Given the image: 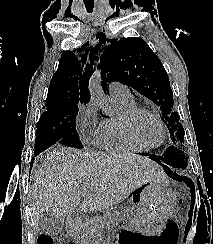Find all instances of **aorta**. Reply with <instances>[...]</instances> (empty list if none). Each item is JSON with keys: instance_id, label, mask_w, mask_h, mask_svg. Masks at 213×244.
Returning <instances> with one entry per match:
<instances>
[{"instance_id": "obj_1", "label": "aorta", "mask_w": 213, "mask_h": 244, "mask_svg": "<svg viewBox=\"0 0 213 244\" xmlns=\"http://www.w3.org/2000/svg\"><path fill=\"white\" fill-rule=\"evenodd\" d=\"M89 91L91 94V99L97 103L100 107H102L103 111L107 115H111L112 105L110 99L104 93L103 88L101 86V73L100 71H96L89 82Z\"/></svg>"}]
</instances>
